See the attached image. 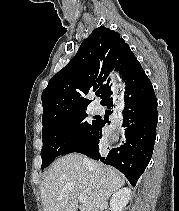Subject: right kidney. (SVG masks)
I'll return each instance as SVG.
<instances>
[{
  "instance_id": "obj_1",
  "label": "right kidney",
  "mask_w": 179,
  "mask_h": 211,
  "mask_svg": "<svg viewBox=\"0 0 179 211\" xmlns=\"http://www.w3.org/2000/svg\"><path fill=\"white\" fill-rule=\"evenodd\" d=\"M131 197V190L129 188H122L115 192L110 199L111 211H122L128 204Z\"/></svg>"
}]
</instances>
